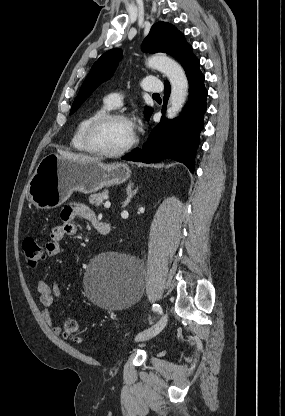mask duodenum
Returning a JSON list of instances; mask_svg holds the SVG:
<instances>
[{
  "mask_svg": "<svg viewBox=\"0 0 285 416\" xmlns=\"http://www.w3.org/2000/svg\"><path fill=\"white\" fill-rule=\"evenodd\" d=\"M94 225L102 236H108L110 234V225L108 223L95 219Z\"/></svg>",
  "mask_w": 285,
  "mask_h": 416,
  "instance_id": "410a0bca",
  "label": "duodenum"
}]
</instances>
